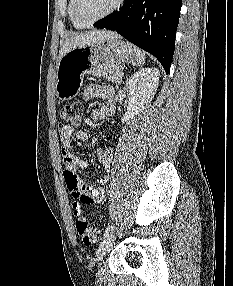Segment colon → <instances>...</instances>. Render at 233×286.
I'll use <instances>...</instances> for the list:
<instances>
[{
    "instance_id": "5ec220e1",
    "label": "colon",
    "mask_w": 233,
    "mask_h": 286,
    "mask_svg": "<svg viewBox=\"0 0 233 286\" xmlns=\"http://www.w3.org/2000/svg\"><path fill=\"white\" fill-rule=\"evenodd\" d=\"M84 113L83 104L79 101H74L65 104L61 109V117L72 126L80 125ZM76 231L84 244L90 245L98 241L99 232L93 228L88 220L80 216L75 222Z\"/></svg>"
}]
</instances>
